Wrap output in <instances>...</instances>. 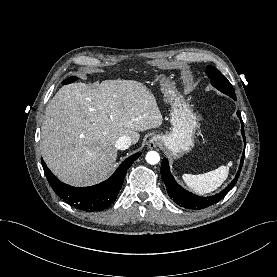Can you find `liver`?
Masks as SVG:
<instances>
[{
  "instance_id": "liver-1",
  "label": "liver",
  "mask_w": 277,
  "mask_h": 277,
  "mask_svg": "<svg viewBox=\"0 0 277 277\" xmlns=\"http://www.w3.org/2000/svg\"><path fill=\"white\" fill-rule=\"evenodd\" d=\"M163 117L154 94L132 80L61 87L46 107L41 152L50 170L72 186H91L108 178L116 158V141L159 128Z\"/></svg>"
}]
</instances>
